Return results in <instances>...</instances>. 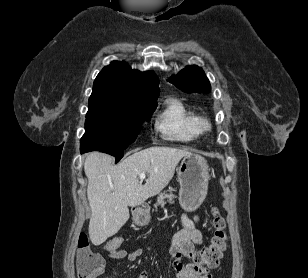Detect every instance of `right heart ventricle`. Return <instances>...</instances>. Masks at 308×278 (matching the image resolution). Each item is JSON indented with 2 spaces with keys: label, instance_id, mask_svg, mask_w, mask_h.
I'll return each mask as SVG.
<instances>
[{
  "label": "right heart ventricle",
  "instance_id": "1",
  "mask_svg": "<svg viewBox=\"0 0 308 278\" xmlns=\"http://www.w3.org/2000/svg\"><path fill=\"white\" fill-rule=\"evenodd\" d=\"M198 117L182 101L170 98L158 114L155 127L167 140L189 143L201 134L196 127Z\"/></svg>",
  "mask_w": 308,
  "mask_h": 278
}]
</instances>
